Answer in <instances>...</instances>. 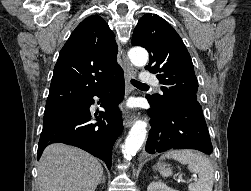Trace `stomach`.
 Listing matches in <instances>:
<instances>
[{"instance_id": "obj_1", "label": "stomach", "mask_w": 251, "mask_h": 191, "mask_svg": "<svg viewBox=\"0 0 251 191\" xmlns=\"http://www.w3.org/2000/svg\"><path fill=\"white\" fill-rule=\"evenodd\" d=\"M154 169H158V171H161V169H167L166 167V163H156V165H154Z\"/></svg>"}]
</instances>
